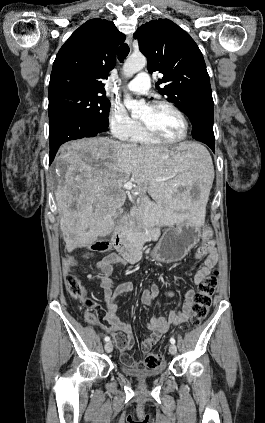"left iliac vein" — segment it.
Segmentation results:
<instances>
[{
	"label": "left iliac vein",
	"mask_w": 265,
	"mask_h": 423,
	"mask_svg": "<svg viewBox=\"0 0 265 423\" xmlns=\"http://www.w3.org/2000/svg\"><path fill=\"white\" fill-rule=\"evenodd\" d=\"M169 352H170V354H172V355H175V354L177 353V347H176V345H175V344H171V345L169 346Z\"/></svg>",
	"instance_id": "left-iliac-vein-1"
}]
</instances>
